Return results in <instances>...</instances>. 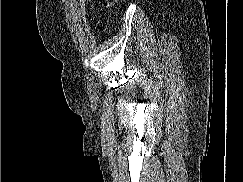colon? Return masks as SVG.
<instances>
[{
	"mask_svg": "<svg viewBox=\"0 0 243 182\" xmlns=\"http://www.w3.org/2000/svg\"><path fill=\"white\" fill-rule=\"evenodd\" d=\"M119 1H121V0H105L104 1V7L106 9H111Z\"/></svg>",
	"mask_w": 243,
	"mask_h": 182,
	"instance_id": "obj_1",
	"label": "colon"
}]
</instances>
